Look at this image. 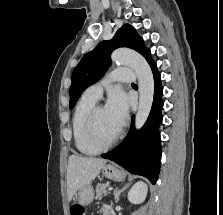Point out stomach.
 <instances>
[{
    "label": "stomach",
    "mask_w": 223,
    "mask_h": 215,
    "mask_svg": "<svg viewBox=\"0 0 223 215\" xmlns=\"http://www.w3.org/2000/svg\"><path fill=\"white\" fill-rule=\"evenodd\" d=\"M102 173L103 175H105V177H108V179H113V181H123V171H120V169H118V167H115L113 163H104L102 167ZM91 190V185H85V187L79 189V197L76 198V201H79L81 209H83L84 205H88V203H91L93 199L91 197Z\"/></svg>",
    "instance_id": "1"
}]
</instances>
